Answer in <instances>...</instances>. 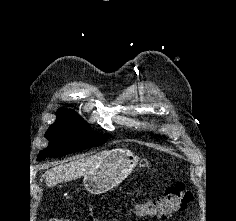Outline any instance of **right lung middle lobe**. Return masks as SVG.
Returning <instances> with one entry per match:
<instances>
[{"instance_id":"right-lung-middle-lobe-1","label":"right lung middle lobe","mask_w":236,"mask_h":221,"mask_svg":"<svg viewBox=\"0 0 236 221\" xmlns=\"http://www.w3.org/2000/svg\"><path fill=\"white\" fill-rule=\"evenodd\" d=\"M45 136L50 145L40 152L38 160L47 156L61 157L107 141L105 135L93 132L80 116L67 109L57 111L56 122L49 127Z\"/></svg>"}]
</instances>
